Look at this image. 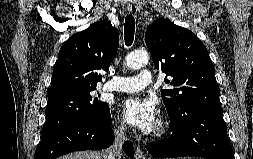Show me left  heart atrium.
<instances>
[{
	"mask_svg": "<svg viewBox=\"0 0 253 159\" xmlns=\"http://www.w3.org/2000/svg\"><path fill=\"white\" fill-rule=\"evenodd\" d=\"M124 120L142 132H150L156 125L157 110L154 102L141 97L125 99L120 106Z\"/></svg>",
	"mask_w": 253,
	"mask_h": 159,
	"instance_id": "1",
	"label": "left heart atrium"
}]
</instances>
